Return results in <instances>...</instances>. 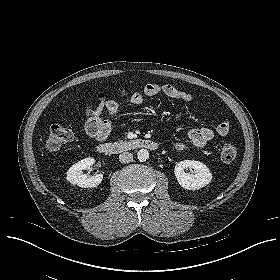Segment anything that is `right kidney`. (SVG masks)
<instances>
[{"label":"right kidney","mask_w":280,"mask_h":280,"mask_svg":"<svg viewBox=\"0 0 280 280\" xmlns=\"http://www.w3.org/2000/svg\"><path fill=\"white\" fill-rule=\"evenodd\" d=\"M95 163L94 158H85L75 164H73L67 171L66 179L73 185H77L82 188H94L97 187L102 179V174H96L89 176L83 173V170L87 169Z\"/></svg>","instance_id":"right-kidney-1"}]
</instances>
